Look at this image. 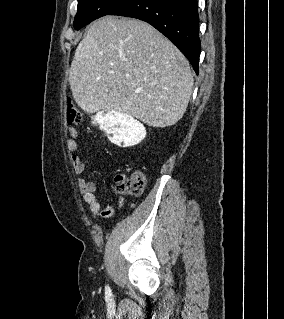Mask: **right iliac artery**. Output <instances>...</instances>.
Returning a JSON list of instances; mask_svg holds the SVG:
<instances>
[{
  "mask_svg": "<svg viewBox=\"0 0 284 319\" xmlns=\"http://www.w3.org/2000/svg\"><path fill=\"white\" fill-rule=\"evenodd\" d=\"M105 292L106 294H111V290L108 285L105 287Z\"/></svg>",
  "mask_w": 284,
  "mask_h": 319,
  "instance_id": "right-iliac-artery-1",
  "label": "right iliac artery"
}]
</instances>
